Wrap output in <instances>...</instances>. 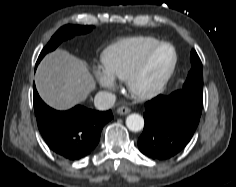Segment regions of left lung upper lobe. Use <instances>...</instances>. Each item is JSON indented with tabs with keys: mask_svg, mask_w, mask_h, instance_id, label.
I'll list each match as a JSON object with an SVG mask.
<instances>
[{
	"mask_svg": "<svg viewBox=\"0 0 236 187\" xmlns=\"http://www.w3.org/2000/svg\"><path fill=\"white\" fill-rule=\"evenodd\" d=\"M190 60L192 68L183 85L182 91L193 95L197 99L203 101L202 63L195 50L191 51Z\"/></svg>",
	"mask_w": 236,
	"mask_h": 187,
	"instance_id": "1",
	"label": "left lung upper lobe"
}]
</instances>
